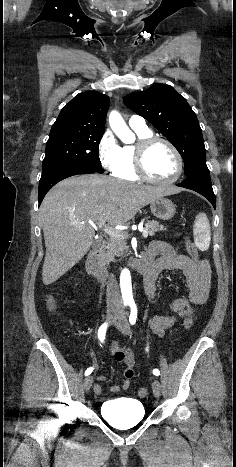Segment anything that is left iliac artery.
Returning <instances> with one entry per match:
<instances>
[{
  "mask_svg": "<svg viewBox=\"0 0 236 467\" xmlns=\"http://www.w3.org/2000/svg\"><path fill=\"white\" fill-rule=\"evenodd\" d=\"M129 306H130V309H131L130 316H129V322L132 325H134L136 323V319H137V306H136L135 302H130ZM146 350L148 351V347L146 348ZM153 374L156 375V376H159L160 371L158 369H154Z\"/></svg>",
  "mask_w": 236,
  "mask_h": 467,
  "instance_id": "left-iliac-artery-1",
  "label": "left iliac artery"
}]
</instances>
